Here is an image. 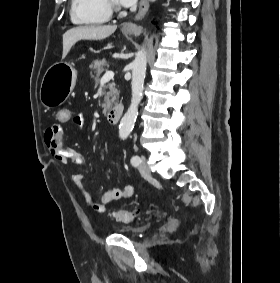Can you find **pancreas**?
<instances>
[{"mask_svg":"<svg viewBox=\"0 0 280 283\" xmlns=\"http://www.w3.org/2000/svg\"><path fill=\"white\" fill-rule=\"evenodd\" d=\"M108 66V63L105 59L102 60H95L90 65V75L91 78L94 79L95 82V88L99 86L101 83L100 76L104 72L105 67ZM109 89L107 92L106 90ZM104 103L102 104L103 107V113H105L107 110H109L113 104H117L119 99V91L115 87L114 82H110L107 85H104Z\"/></svg>","mask_w":280,"mask_h":283,"instance_id":"pancreas-1","label":"pancreas"}]
</instances>
